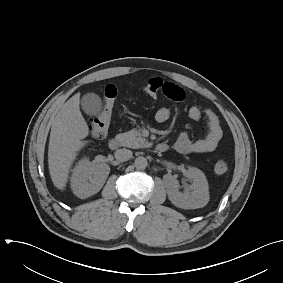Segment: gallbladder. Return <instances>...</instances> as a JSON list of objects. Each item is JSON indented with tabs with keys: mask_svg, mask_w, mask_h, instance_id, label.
Segmentation results:
<instances>
[{
	"mask_svg": "<svg viewBox=\"0 0 283 283\" xmlns=\"http://www.w3.org/2000/svg\"><path fill=\"white\" fill-rule=\"evenodd\" d=\"M83 111L90 116H96L102 109L101 98L95 93H87L81 99Z\"/></svg>",
	"mask_w": 283,
	"mask_h": 283,
	"instance_id": "bac80fb5",
	"label": "gallbladder"
}]
</instances>
